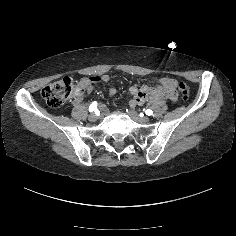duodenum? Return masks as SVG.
<instances>
[{"label": "duodenum", "mask_w": 236, "mask_h": 236, "mask_svg": "<svg viewBox=\"0 0 236 236\" xmlns=\"http://www.w3.org/2000/svg\"><path fill=\"white\" fill-rule=\"evenodd\" d=\"M142 95H145V93L138 92L135 94L134 99H138ZM173 98H174V93L172 87L170 86V83L164 82L163 85L158 90L152 92L150 100L156 101L158 99H173Z\"/></svg>", "instance_id": "obj_1"}]
</instances>
